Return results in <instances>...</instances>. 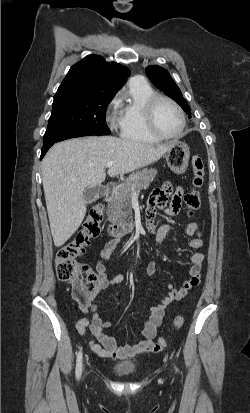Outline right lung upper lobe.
<instances>
[{
  "label": "right lung upper lobe",
  "mask_w": 250,
  "mask_h": 413,
  "mask_svg": "<svg viewBox=\"0 0 250 413\" xmlns=\"http://www.w3.org/2000/svg\"><path fill=\"white\" fill-rule=\"evenodd\" d=\"M130 70L99 55H89L74 64L59 88L75 86L87 90L116 93L124 85Z\"/></svg>",
  "instance_id": "cb5924a9"
}]
</instances>
